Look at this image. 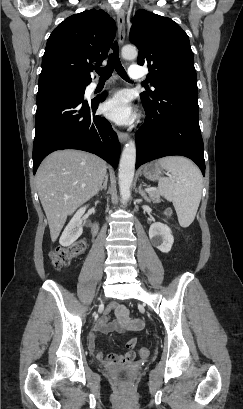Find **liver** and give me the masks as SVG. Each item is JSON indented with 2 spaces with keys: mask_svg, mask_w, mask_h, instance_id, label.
<instances>
[{
  "mask_svg": "<svg viewBox=\"0 0 243 409\" xmlns=\"http://www.w3.org/2000/svg\"><path fill=\"white\" fill-rule=\"evenodd\" d=\"M105 175V161L83 151H56L42 161L36 185L52 242L57 240L67 217L98 193Z\"/></svg>",
  "mask_w": 243,
  "mask_h": 409,
  "instance_id": "6515ba94",
  "label": "liver"
}]
</instances>
